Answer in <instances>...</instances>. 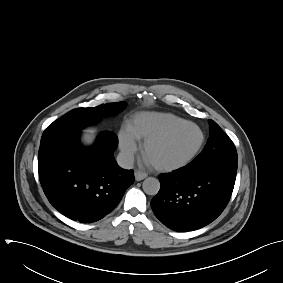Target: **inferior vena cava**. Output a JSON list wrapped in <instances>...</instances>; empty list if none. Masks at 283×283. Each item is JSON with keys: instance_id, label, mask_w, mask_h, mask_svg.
<instances>
[{"instance_id": "602c4592", "label": "inferior vena cava", "mask_w": 283, "mask_h": 283, "mask_svg": "<svg viewBox=\"0 0 283 283\" xmlns=\"http://www.w3.org/2000/svg\"><path fill=\"white\" fill-rule=\"evenodd\" d=\"M117 163L120 167L124 169H132L134 165V156L129 152H120L117 155Z\"/></svg>"}]
</instances>
